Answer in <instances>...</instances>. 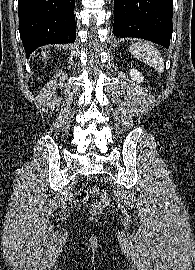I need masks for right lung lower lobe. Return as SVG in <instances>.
<instances>
[{
    "label": "right lung lower lobe",
    "mask_w": 195,
    "mask_h": 270,
    "mask_svg": "<svg viewBox=\"0 0 195 270\" xmlns=\"http://www.w3.org/2000/svg\"><path fill=\"white\" fill-rule=\"evenodd\" d=\"M75 0H19V32L28 57L46 44L73 43Z\"/></svg>",
    "instance_id": "obj_1"
}]
</instances>
